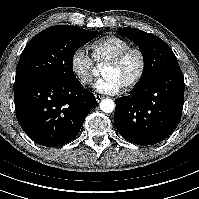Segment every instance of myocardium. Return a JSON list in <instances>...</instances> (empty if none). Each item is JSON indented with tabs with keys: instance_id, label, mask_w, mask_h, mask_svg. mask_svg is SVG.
<instances>
[{
	"instance_id": "myocardium-1",
	"label": "myocardium",
	"mask_w": 199,
	"mask_h": 199,
	"mask_svg": "<svg viewBox=\"0 0 199 199\" xmlns=\"http://www.w3.org/2000/svg\"><path fill=\"white\" fill-rule=\"evenodd\" d=\"M132 53H136L138 55L140 66L136 75L130 81H128L126 84L123 85V88L127 90L136 87L144 77L146 67H147V60H146V56L143 50L139 47L131 46L123 50L121 53H119L115 58H113L106 65L113 68L119 67L126 60V58Z\"/></svg>"
}]
</instances>
